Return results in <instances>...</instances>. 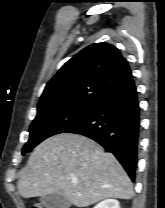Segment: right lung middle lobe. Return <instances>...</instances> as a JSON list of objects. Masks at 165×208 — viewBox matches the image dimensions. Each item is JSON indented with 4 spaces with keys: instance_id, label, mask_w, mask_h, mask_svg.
I'll return each mask as SVG.
<instances>
[{
    "instance_id": "obj_1",
    "label": "right lung middle lobe",
    "mask_w": 165,
    "mask_h": 208,
    "mask_svg": "<svg viewBox=\"0 0 165 208\" xmlns=\"http://www.w3.org/2000/svg\"><path fill=\"white\" fill-rule=\"evenodd\" d=\"M91 102H63L47 105L37 110V116L30 125V138L22 154L32 150L46 138L67 132L81 122L94 108Z\"/></svg>"
}]
</instances>
